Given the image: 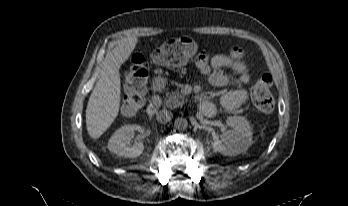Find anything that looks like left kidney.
Listing matches in <instances>:
<instances>
[{
  "label": "left kidney",
  "mask_w": 348,
  "mask_h": 206,
  "mask_svg": "<svg viewBox=\"0 0 348 206\" xmlns=\"http://www.w3.org/2000/svg\"><path fill=\"white\" fill-rule=\"evenodd\" d=\"M226 123L232 130L226 131L222 139L212 142L214 151L225 156H236L252 144V131L249 122L242 116H230Z\"/></svg>",
  "instance_id": "5707ae66"
}]
</instances>
